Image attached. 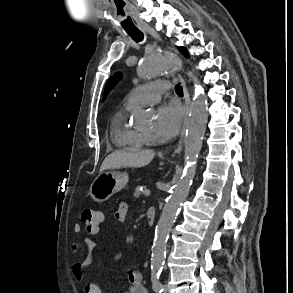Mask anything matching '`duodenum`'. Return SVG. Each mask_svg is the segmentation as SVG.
Returning <instances> with one entry per match:
<instances>
[{"label": "duodenum", "instance_id": "1", "mask_svg": "<svg viewBox=\"0 0 293 293\" xmlns=\"http://www.w3.org/2000/svg\"><path fill=\"white\" fill-rule=\"evenodd\" d=\"M156 209L154 207L147 208L146 221L149 226H152L155 222Z\"/></svg>", "mask_w": 293, "mask_h": 293}]
</instances>
